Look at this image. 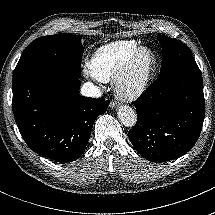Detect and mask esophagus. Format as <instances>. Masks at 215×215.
I'll return each mask as SVG.
<instances>
[{
  "label": "esophagus",
  "mask_w": 215,
  "mask_h": 215,
  "mask_svg": "<svg viewBox=\"0 0 215 215\" xmlns=\"http://www.w3.org/2000/svg\"><path fill=\"white\" fill-rule=\"evenodd\" d=\"M117 106V102L116 101H112L111 103H110V107L111 108H115Z\"/></svg>",
  "instance_id": "1"
}]
</instances>
